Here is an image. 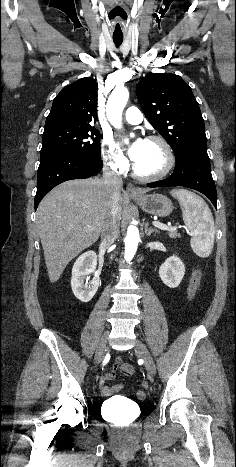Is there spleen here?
Returning <instances> with one entry per match:
<instances>
[{"instance_id": "obj_1", "label": "spleen", "mask_w": 236, "mask_h": 467, "mask_svg": "<svg viewBox=\"0 0 236 467\" xmlns=\"http://www.w3.org/2000/svg\"><path fill=\"white\" fill-rule=\"evenodd\" d=\"M181 206L183 220L191 232V247L200 257H208L214 245L215 226L212 213L205 201L186 189L171 191Z\"/></svg>"}]
</instances>
